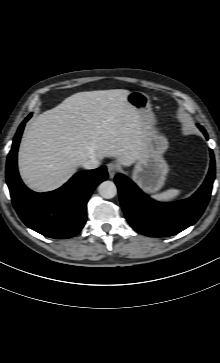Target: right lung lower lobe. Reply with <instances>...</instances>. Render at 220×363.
I'll return each instance as SVG.
<instances>
[{
	"instance_id": "right-lung-lower-lobe-1",
	"label": "right lung lower lobe",
	"mask_w": 220,
	"mask_h": 363,
	"mask_svg": "<svg viewBox=\"0 0 220 363\" xmlns=\"http://www.w3.org/2000/svg\"><path fill=\"white\" fill-rule=\"evenodd\" d=\"M19 126L7 157L6 179L13 205L22 221L36 232L56 239L75 236L86 222V204L97 185L108 177L106 167L75 174L61 188L36 193L21 181L17 170V150L25 123Z\"/></svg>"
}]
</instances>
